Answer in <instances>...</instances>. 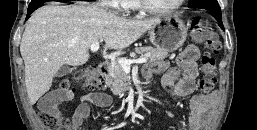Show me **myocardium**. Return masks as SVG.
Listing matches in <instances>:
<instances>
[{
    "label": "myocardium",
    "mask_w": 257,
    "mask_h": 130,
    "mask_svg": "<svg viewBox=\"0 0 257 130\" xmlns=\"http://www.w3.org/2000/svg\"><path fill=\"white\" fill-rule=\"evenodd\" d=\"M185 0H178L174 5L167 8H156L148 3L147 0H136L138 8L142 11H145L150 14L163 15L170 14L178 10L183 4Z\"/></svg>",
    "instance_id": "myocardium-1"
}]
</instances>
